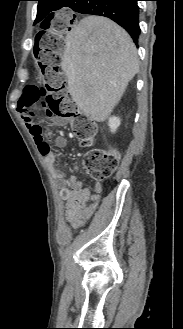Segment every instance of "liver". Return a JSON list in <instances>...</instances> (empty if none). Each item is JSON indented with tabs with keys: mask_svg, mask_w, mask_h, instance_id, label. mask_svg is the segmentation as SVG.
<instances>
[{
	"mask_svg": "<svg viewBox=\"0 0 183 329\" xmlns=\"http://www.w3.org/2000/svg\"><path fill=\"white\" fill-rule=\"evenodd\" d=\"M61 68L79 109L97 122L112 113L139 70L129 34L99 16L83 18L66 36Z\"/></svg>",
	"mask_w": 183,
	"mask_h": 329,
	"instance_id": "liver-1",
	"label": "liver"
}]
</instances>
